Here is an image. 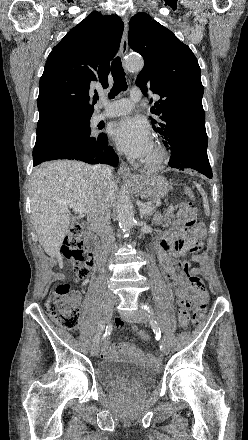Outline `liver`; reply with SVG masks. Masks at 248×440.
Instances as JSON below:
<instances>
[{
  "label": "liver",
  "instance_id": "liver-1",
  "mask_svg": "<svg viewBox=\"0 0 248 440\" xmlns=\"http://www.w3.org/2000/svg\"><path fill=\"white\" fill-rule=\"evenodd\" d=\"M93 167L78 161H52L38 166L32 173L30 184L31 215L39 243L47 255L63 260L60 248L68 233L70 222L87 214L98 198L115 199L116 184L103 182L92 172ZM68 200L84 211L71 217Z\"/></svg>",
  "mask_w": 248,
  "mask_h": 440
}]
</instances>
